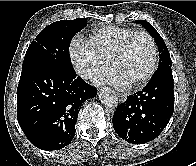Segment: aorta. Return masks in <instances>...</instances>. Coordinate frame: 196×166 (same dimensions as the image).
Returning a JSON list of instances; mask_svg holds the SVG:
<instances>
[{
  "mask_svg": "<svg viewBox=\"0 0 196 166\" xmlns=\"http://www.w3.org/2000/svg\"><path fill=\"white\" fill-rule=\"evenodd\" d=\"M99 98L107 108L115 109L118 105L117 95L110 88L101 90L99 93Z\"/></svg>",
  "mask_w": 196,
  "mask_h": 166,
  "instance_id": "762f6f07",
  "label": "aorta"
}]
</instances>
